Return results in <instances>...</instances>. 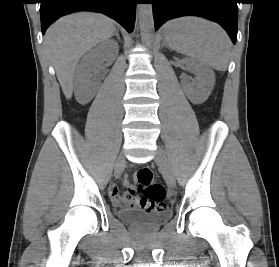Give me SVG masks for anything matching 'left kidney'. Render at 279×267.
<instances>
[{
  "label": "left kidney",
  "instance_id": "left-kidney-1",
  "mask_svg": "<svg viewBox=\"0 0 279 267\" xmlns=\"http://www.w3.org/2000/svg\"><path fill=\"white\" fill-rule=\"evenodd\" d=\"M186 63L196 74V80L191 84L182 82V88L191 103L202 104L208 99L214 88V71L202 62L193 59H186Z\"/></svg>",
  "mask_w": 279,
  "mask_h": 267
}]
</instances>
